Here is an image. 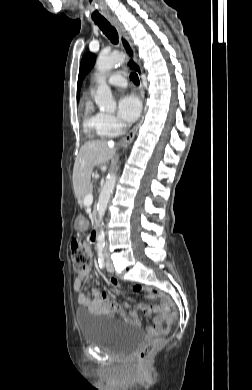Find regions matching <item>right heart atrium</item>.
I'll use <instances>...</instances> for the list:
<instances>
[{"instance_id":"obj_1","label":"right heart atrium","mask_w":252,"mask_h":390,"mask_svg":"<svg viewBox=\"0 0 252 390\" xmlns=\"http://www.w3.org/2000/svg\"><path fill=\"white\" fill-rule=\"evenodd\" d=\"M124 124L115 116L110 114H99V132L105 137H112L119 134Z\"/></svg>"}]
</instances>
